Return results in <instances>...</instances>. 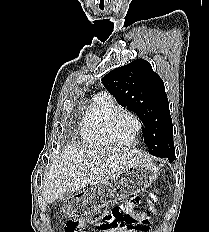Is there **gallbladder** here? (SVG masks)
Listing matches in <instances>:
<instances>
[{"label": "gallbladder", "instance_id": "bac80fb5", "mask_svg": "<svg viewBox=\"0 0 209 232\" xmlns=\"http://www.w3.org/2000/svg\"><path fill=\"white\" fill-rule=\"evenodd\" d=\"M68 196H70V193L64 194L60 200H65L66 198H68Z\"/></svg>", "mask_w": 209, "mask_h": 232}]
</instances>
